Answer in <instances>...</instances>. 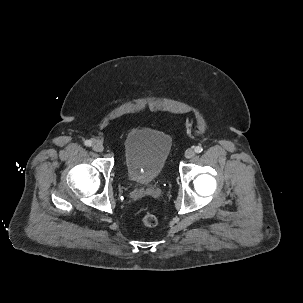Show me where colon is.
<instances>
[{
  "label": "colon",
  "instance_id": "obj_1",
  "mask_svg": "<svg viewBox=\"0 0 303 303\" xmlns=\"http://www.w3.org/2000/svg\"><path fill=\"white\" fill-rule=\"evenodd\" d=\"M142 223L149 228H153L155 226H157L158 224V219L157 217L151 213V212H145L142 215Z\"/></svg>",
  "mask_w": 303,
  "mask_h": 303
}]
</instances>
